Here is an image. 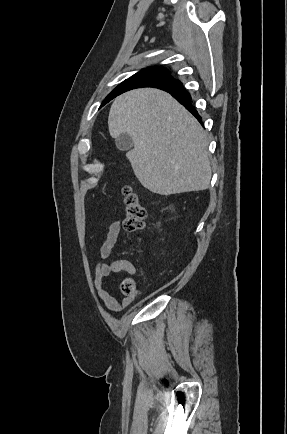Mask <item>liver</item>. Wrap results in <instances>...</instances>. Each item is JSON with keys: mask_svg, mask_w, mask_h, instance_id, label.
I'll use <instances>...</instances> for the list:
<instances>
[{"mask_svg": "<svg viewBox=\"0 0 287 434\" xmlns=\"http://www.w3.org/2000/svg\"><path fill=\"white\" fill-rule=\"evenodd\" d=\"M111 137L127 133V153L143 187L160 195L209 187L211 167L207 135L198 121L169 93L143 88L117 97L109 112Z\"/></svg>", "mask_w": 287, "mask_h": 434, "instance_id": "6515ba94", "label": "liver"}]
</instances>
